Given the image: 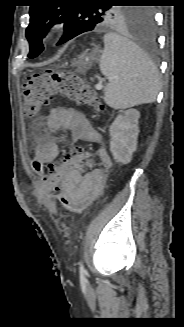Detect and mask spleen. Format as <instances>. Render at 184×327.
Instances as JSON below:
<instances>
[{
  "label": "spleen",
  "instance_id": "spleen-1",
  "mask_svg": "<svg viewBox=\"0 0 184 327\" xmlns=\"http://www.w3.org/2000/svg\"><path fill=\"white\" fill-rule=\"evenodd\" d=\"M100 70L110 78L104 101L114 109L152 103L160 83L156 66L132 41L114 33L104 36Z\"/></svg>",
  "mask_w": 184,
  "mask_h": 327
}]
</instances>
